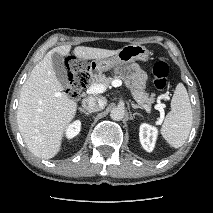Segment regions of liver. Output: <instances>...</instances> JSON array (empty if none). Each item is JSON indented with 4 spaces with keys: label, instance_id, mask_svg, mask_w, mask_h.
Here are the masks:
<instances>
[{
    "label": "liver",
    "instance_id": "liver-1",
    "mask_svg": "<svg viewBox=\"0 0 213 213\" xmlns=\"http://www.w3.org/2000/svg\"><path fill=\"white\" fill-rule=\"evenodd\" d=\"M70 45L50 50L33 68L23 84L17 108V124L30 152L42 159L53 158L61 149L67 127L73 120L77 103L63 91L57 79L51 56H66ZM118 50L92 47H75L74 55L83 60L114 56Z\"/></svg>",
    "mask_w": 213,
    "mask_h": 213
}]
</instances>
